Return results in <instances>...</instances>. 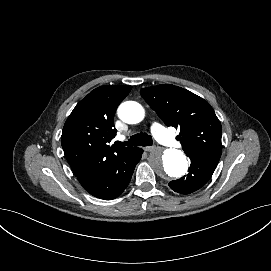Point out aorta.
I'll return each mask as SVG.
<instances>
[{
    "mask_svg": "<svg viewBox=\"0 0 271 271\" xmlns=\"http://www.w3.org/2000/svg\"><path fill=\"white\" fill-rule=\"evenodd\" d=\"M144 115V108L134 101L124 102L118 108L119 118L128 124L141 122ZM149 163L152 169L163 178H179L188 170L187 157L182 151L174 148L164 151L154 150L149 155Z\"/></svg>",
    "mask_w": 271,
    "mask_h": 271,
    "instance_id": "1",
    "label": "aorta"
}]
</instances>
